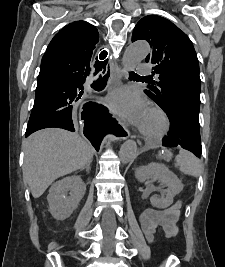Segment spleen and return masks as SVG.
<instances>
[{
  "label": "spleen",
  "mask_w": 225,
  "mask_h": 267,
  "mask_svg": "<svg viewBox=\"0 0 225 267\" xmlns=\"http://www.w3.org/2000/svg\"><path fill=\"white\" fill-rule=\"evenodd\" d=\"M160 159L172 157V152L170 150L164 149V154L159 153ZM175 167L179 170L193 177H197L201 172V165L199 160L187 150L181 149L179 154L176 156Z\"/></svg>",
  "instance_id": "1"
}]
</instances>
